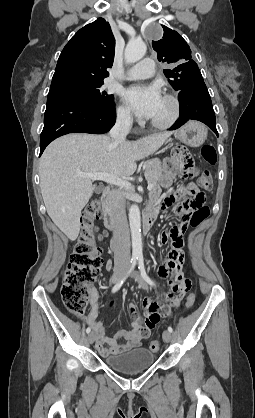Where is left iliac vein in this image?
<instances>
[{
    "label": "left iliac vein",
    "mask_w": 255,
    "mask_h": 418,
    "mask_svg": "<svg viewBox=\"0 0 255 418\" xmlns=\"http://www.w3.org/2000/svg\"><path fill=\"white\" fill-rule=\"evenodd\" d=\"M132 277L135 279V281L138 282L139 287L143 288V289H147L148 286L146 284V282L140 277V275L137 272H134L132 274ZM171 333L168 330H165L162 334V338L165 342L169 343L171 341Z\"/></svg>",
    "instance_id": "obj_1"
}]
</instances>
